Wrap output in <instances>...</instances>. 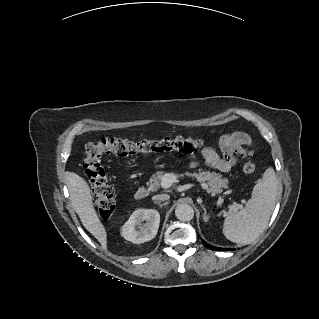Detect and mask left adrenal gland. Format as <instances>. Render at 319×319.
I'll use <instances>...</instances> for the list:
<instances>
[{
	"label": "left adrenal gland",
	"instance_id": "obj_1",
	"mask_svg": "<svg viewBox=\"0 0 319 319\" xmlns=\"http://www.w3.org/2000/svg\"><path fill=\"white\" fill-rule=\"evenodd\" d=\"M201 207H202V209H203V211H204V213H203V220H204L205 222H208V221H209V217H208V215H207L206 208H205L203 205H202Z\"/></svg>",
	"mask_w": 319,
	"mask_h": 319
}]
</instances>
